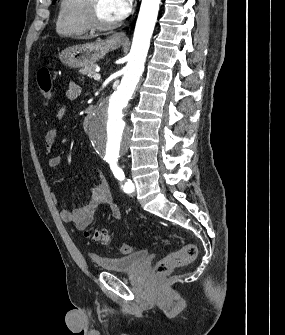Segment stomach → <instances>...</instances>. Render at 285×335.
<instances>
[{
  "instance_id": "0dacf381",
  "label": "stomach",
  "mask_w": 285,
  "mask_h": 335,
  "mask_svg": "<svg viewBox=\"0 0 285 335\" xmlns=\"http://www.w3.org/2000/svg\"><path fill=\"white\" fill-rule=\"evenodd\" d=\"M119 46H121V42H112V38L101 40V42L82 44V46H70L60 52L59 60L68 68H84V66L95 64L97 60L104 58L108 52L117 50Z\"/></svg>"
}]
</instances>
